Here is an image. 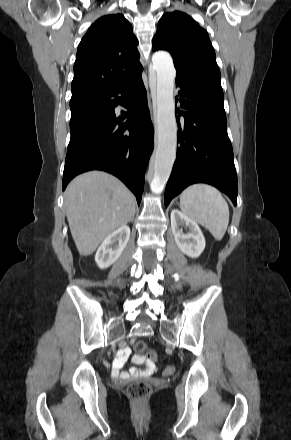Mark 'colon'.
Returning a JSON list of instances; mask_svg holds the SVG:
<instances>
[{
    "mask_svg": "<svg viewBox=\"0 0 291 440\" xmlns=\"http://www.w3.org/2000/svg\"><path fill=\"white\" fill-rule=\"evenodd\" d=\"M134 359H141L144 357L154 358L155 353L148 349L146 342L137 341L134 346ZM151 388L148 383L138 380L129 384L127 388L128 397L136 403H143L150 395Z\"/></svg>",
    "mask_w": 291,
    "mask_h": 440,
    "instance_id": "1",
    "label": "colon"
}]
</instances>
